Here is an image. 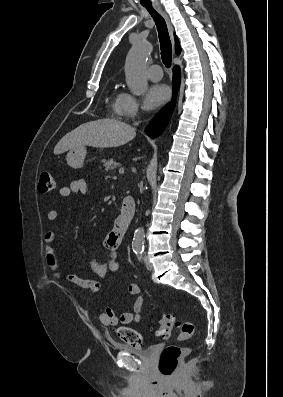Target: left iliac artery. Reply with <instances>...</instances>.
<instances>
[{"label":"left iliac artery","instance_id":"44dca946","mask_svg":"<svg viewBox=\"0 0 283 397\" xmlns=\"http://www.w3.org/2000/svg\"><path fill=\"white\" fill-rule=\"evenodd\" d=\"M138 260H139V261L142 260V253L138 255Z\"/></svg>","mask_w":283,"mask_h":397}]
</instances>
